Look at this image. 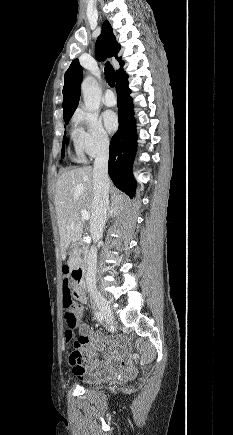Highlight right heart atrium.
Returning a JSON list of instances; mask_svg holds the SVG:
<instances>
[{
  "instance_id": "right-heart-atrium-1",
  "label": "right heart atrium",
  "mask_w": 233,
  "mask_h": 435,
  "mask_svg": "<svg viewBox=\"0 0 233 435\" xmlns=\"http://www.w3.org/2000/svg\"><path fill=\"white\" fill-rule=\"evenodd\" d=\"M74 122L81 127V152L89 157H95L108 150L110 138L96 114L78 110Z\"/></svg>"
}]
</instances>
